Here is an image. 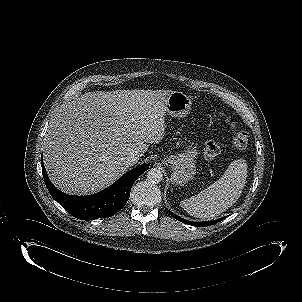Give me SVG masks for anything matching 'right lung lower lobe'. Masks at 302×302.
<instances>
[{
    "mask_svg": "<svg viewBox=\"0 0 302 302\" xmlns=\"http://www.w3.org/2000/svg\"><path fill=\"white\" fill-rule=\"evenodd\" d=\"M41 166L44 181L51 196L72 216L82 220L108 217L120 211L129 199L133 183L149 169L147 164H143L122 176L107 189L97 194L79 197L67 195L58 190L48 178L43 162Z\"/></svg>",
    "mask_w": 302,
    "mask_h": 302,
    "instance_id": "98d812e1",
    "label": "right lung lower lobe"
}]
</instances>
